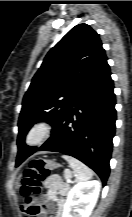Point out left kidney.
<instances>
[{"label":"left kidney","instance_id":"obj_1","mask_svg":"<svg viewBox=\"0 0 132 217\" xmlns=\"http://www.w3.org/2000/svg\"><path fill=\"white\" fill-rule=\"evenodd\" d=\"M100 188L97 180L76 184L68 194L62 217H89L97 202Z\"/></svg>","mask_w":132,"mask_h":217}]
</instances>
